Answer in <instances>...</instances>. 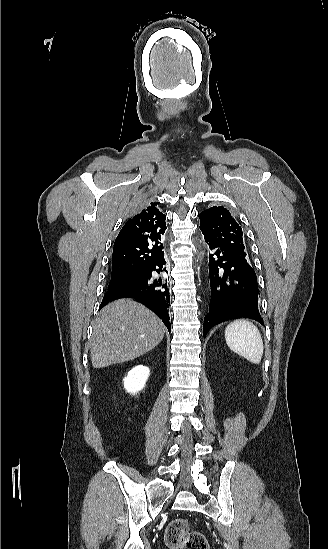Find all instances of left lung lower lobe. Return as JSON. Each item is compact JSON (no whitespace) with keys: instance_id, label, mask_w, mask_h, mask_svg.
I'll return each instance as SVG.
<instances>
[{"instance_id":"obj_1","label":"left lung lower lobe","mask_w":328,"mask_h":549,"mask_svg":"<svg viewBox=\"0 0 328 549\" xmlns=\"http://www.w3.org/2000/svg\"><path fill=\"white\" fill-rule=\"evenodd\" d=\"M206 241V240H205ZM209 253L211 300L203 335L229 319L249 318L262 323L258 309L256 274L248 262L206 241Z\"/></svg>"}]
</instances>
